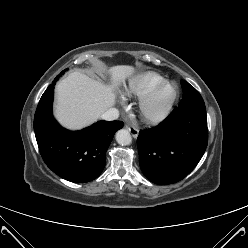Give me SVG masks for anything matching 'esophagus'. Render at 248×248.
Here are the masks:
<instances>
[{"label": "esophagus", "mask_w": 248, "mask_h": 248, "mask_svg": "<svg viewBox=\"0 0 248 248\" xmlns=\"http://www.w3.org/2000/svg\"><path fill=\"white\" fill-rule=\"evenodd\" d=\"M124 127L132 134L133 137L136 138L138 136L139 131L135 127L130 125H125Z\"/></svg>", "instance_id": "obj_1"}]
</instances>
